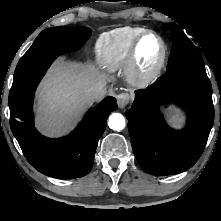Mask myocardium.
<instances>
[{
    "mask_svg": "<svg viewBox=\"0 0 221 221\" xmlns=\"http://www.w3.org/2000/svg\"><path fill=\"white\" fill-rule=\"evenodd\" d=\"M153 35L155 36L161 45L160 57L151 69L143 70L139 63V48L145 37ZM167 58V45L163 37L154 30H145L134 41L130 50L129 59L127 63V72L130 80L138 86H147L154 82L160 75Z\"/></svg>",
    "mask_w": 221,
    "mask_h": 221,
    "instance_id": "f54148a6",
    "label": "myocardium"
}]
</instances>
